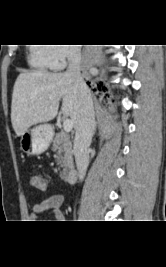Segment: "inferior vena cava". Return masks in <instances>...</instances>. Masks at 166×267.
Wrapping results in <instances>:
<instances>
[{
	"mask_svg": "<svg viewBox=\"0 0 166 267\" xmlns=\"http://www.w3.org/2000/svg\"><path fill=\"white\" fill-rule=\"evenodd\" d=\"M68 68L65 75L73 81L75 86L79 89L83 103L80 112V119L76 128L74 139V155L76 166L78 170L79 180H83L89 164L88 148L91 144L92 137L95 130V114L93 108V101L90 90L85 81L81 77L80 63L81 51L78 47L70 49L68 54Z\"/></svg>",
	"mask_w": 166,
	"mask_h": 267,
	"instance_id": "602c4592",
	"label": "inferior vena cava"
}]
</instances>
